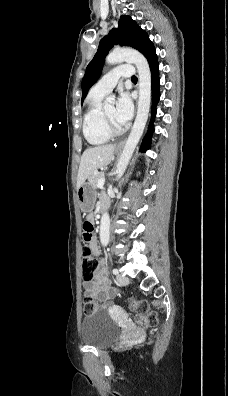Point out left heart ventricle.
<instances>
[{
  "label": "left heart ventricle",
  "mask_w": 228,
  "mask_h": 396,
  "mask_svg": "<svg viewBox=\"0 0 228 396\" xmlns=\"http://www.w3.org/2000/svg\"><path fill=\"white\" fill-rule=\"evenodd\" d=\"M105 114L107 115L108 119L111 121V123L116 126V127H121V125H119L114 117L115 114V107L114 105L108 106L107 108L104 109Z\"/></svg>",
  "instance_id": "left-heart-ventricle-1"
}]
</instances>
